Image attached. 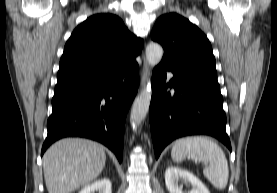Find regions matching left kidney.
Returning a JSON list of instances; mask_svg holds the SVG:
<instances>
[{"label":"left kidney","instance_id":"1","mask_svg":"<svg viewBox=\"0 0 277 193\" xmlns=\"http://www.w3.org/2000/svg\"><path fill=\"white\" fill-rule=\"evenodd\" d=\"M183 179L192 185V189L186 193H210L206 186L192 173L179 167L170 166L165 171V184L170 193H184L178 186V181Z\"/></svg>","mask_w":277,"mask_h":193}]
</instances>
